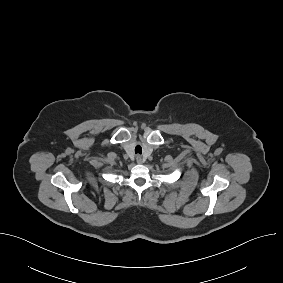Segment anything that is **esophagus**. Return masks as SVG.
<instances>
[{"instance_id":"esophagus-1","label":"esophagus","mask_w":283,"mask_h":283,"mask_svg":"<svg viewBox=\"0 0 283 283\" xmlns=\"http://www.w3.org/2000/svg\"><path fill=\"white\" fill-rule=\"evenodd\" d=\"M136 162H137L138 164H142V163H143V159H142V157H141L140 155H137V156H136Z\"/></svg>"}]
</instances>
